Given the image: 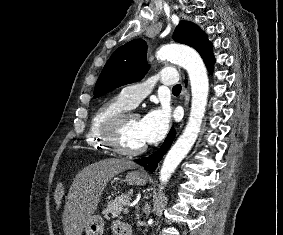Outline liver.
I'll list each match as a JSON object with an SVG mask.
<instances>
[{
	"label": "liver",
	"instance_id": "1",
	"mask_svg": "<svg viewBox=\"0 0 283 235\" xmlns=\"http://www.w3.org/2000/svg\"><path fill=\"white\" fill-rule=\"evenodd\" d=\"M126 159H105L85 167L74 178L63 212L65 235H81L85 225L97 209L107 183L117 174L136 168Z\"/></svg>",
	"mask_w": 283,
	"mask_h": 235
}]
</instances>
